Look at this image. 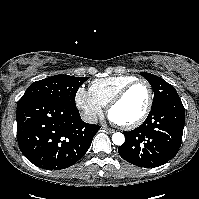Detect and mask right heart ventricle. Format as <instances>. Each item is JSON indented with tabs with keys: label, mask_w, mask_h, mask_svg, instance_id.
I'll use <instances>...</instances> for the list:
<instances>
[{
	"label": "right heart ventricle",
	"mask_w": 199,
	"mask_h": 199,
	"mask_svg": "<svg viewBox=\"0 0 199 199\" xmlns=\"http://www.w3.org/2000/svg\"><path fill=\"white\" fill-rule=\"evenodd\" d=\"M134 79L127 75L97 79L90 84L89 92L102 106H107L117 93Z\"/></svg>",
	"instance_id": "e07e8e85"
}]
</instances>
